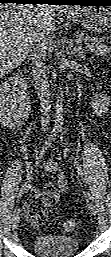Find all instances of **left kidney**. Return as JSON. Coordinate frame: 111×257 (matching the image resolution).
<instances>
[{"mask_svg": "<svg viewBox=\"0 0 111 257\" xmlns=\"http://www.w3.org/2000/svg\"><path fill=\"white\" fill-rule=\"evenodd\" d=\"M92 103L96 110L100 109L101 111L104 106L109 105V97H107L106 95H99L92 101Z\"/></svg>", "mask_w": 111, "mask_h": 257, "instance_id": "1", "label": "left kidney"}]
</instances>
